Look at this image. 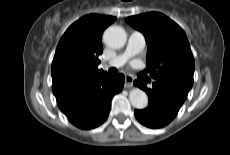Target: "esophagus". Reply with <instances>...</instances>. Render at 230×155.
Returning <instances> with one entry per match:
<instances>
[{
	"label": "esophagus",
	"mask_w": 230,
	"mask_h": 155,
	"mask_svg": "<svg viewBox=\"0 0 230 155\" xmlns=\"http://www.w3.org/2000/svg\"><path fill=\"white\" fill-rule=\"evenodd\" d=\"M134 78L131 75H125V87L131 88L133 87Z\"/></svg>",
	"instance_id": "esophagus-1"
}]
</instances>
